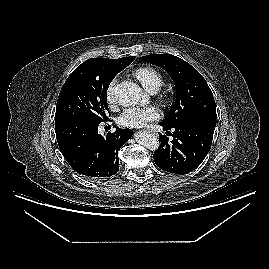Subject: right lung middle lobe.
Listing matches in <instances>:
<instances>
[{
  "label": "right lung middle lobe",
  "instance_id": "obj_1",
  "mask_svg": "<svg viewBox=\"0 0 269 269\" xmlns=\"http://www.w3.org/2000/svg\"><path fill=\"white\" fill-rule=\"evenodd\" d=\"M114 76H98L76 69L64 83L56 106L55 122L108 120L107 89Z\"/></svg>",
  "mask_w": 269,
  "mask_h": 269
}]
</instances>
